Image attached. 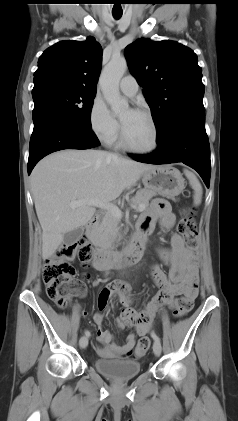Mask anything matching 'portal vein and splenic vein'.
<instances>
[{
	"instance_id": "portal-vein-and-splenic-vein-1",
	"label": "portal vein and splenic vein",
	"mask_w": 238,
	"mask_h": 421,
	"mask_svg": "<svg viewBox=\"0 0 238 421\" xmlns=\"http://www.w3.org/2000/svg\"><path fill=\"white\" fill-rule=\"evenodd\" d=\"M84 205L96 206V207H99L101 209L107 210L109 213H111L112 215H114L117 218L122 217V212L117 206H115L114 204L109 203V202L100 201L98 199L89 200V201H87V200L73 201L69 204V206L72 209H75L77 207L84 206ZM144 209H145L144 206H139L137 208L138 211H143Z\"/></svg>"
}]
</instances>
